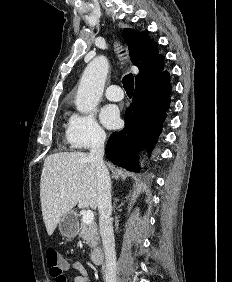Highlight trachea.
Listing matches in <instances>:
<instances>
[{"mask_svg": "<svg viewBox=\"0 0 232 282\" xmlns=\"http://www.w3.org/2000/svg\"><path fill=\"white\" fill-rule=\"evenodd\" d=\"M122 83H123V87L125 89V91L128 92H133L134 89V77L133 75L127 74L123 77L122 79Z\"/></svg>", "mask_w": 232, "mask_h": 282, "instance_id": "trachea-1", "label": "trachea"}]
</instances>
